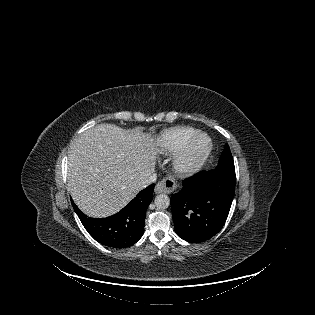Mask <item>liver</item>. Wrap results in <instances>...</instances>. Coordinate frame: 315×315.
Returning <instances> with one entry per match:
<instances>
[{
	"label": "liver",
	"instance_id": "obj_1",
	"mask_svg": "<svg viewBox=\"0 0 315 315\" xmlns=\"http://www.w3.org/2000/svg\"><path fill=\"white\" fill-rule=\"evenodd\" d=\"M153 138L113 124H99L71 145L68 153V191L91 217L121 210L143 189L154 173L160 151Z\"/></svg>",
	"mask_w": 315,
	"mask_h": 315
}]
</instances>
